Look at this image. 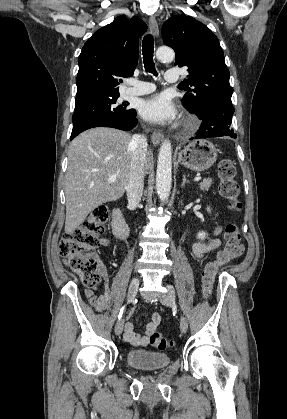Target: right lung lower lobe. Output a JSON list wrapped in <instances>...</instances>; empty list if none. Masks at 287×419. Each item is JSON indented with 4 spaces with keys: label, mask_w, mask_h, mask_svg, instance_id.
Listing matches in <instances>:
<instances>
[{
    "label": "right lung lower lobe",
    "mask_w": 287,
    "mask_h": 419,
    "mask_svg": "<svg viewBox=\"0 0 287 419\" xmlns=\"http://www.w3.org/2000/svg\"><path fill=\"white\" fill-rule=\"evenodd\" d=\"M137 124L136 111L127 118L99 117L86 121L72 130L70 140L81 132L94 127H111L124 131H129Z\"/></svg>",
    "instance_id": "right-lung-lower-lobe-1"
}]
</instances>
